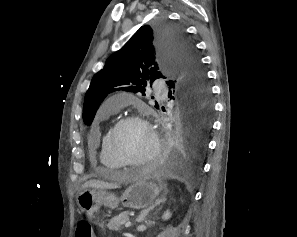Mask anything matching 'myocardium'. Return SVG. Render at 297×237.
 Wrapping results in <instances>:
<instances>
[{
  "label": "myocardium",
  "instance_id": "1",
  "mask_svg": "<svg viewBox=\"0 0 297 237\" xmlns=\"http://www.w3.org/2000/svg\"><path fill=\"white\" fill-rule=\"evenodd\" d=\"M140 123L143 124L149 131L151 138H152V149L150 153L143 159L137 160V161H132V160H127L125 159L114 147L113 143V137L116 131L123 126L124 124L127 123ZM106 144L107 148L110 152V154L120 163V165L123 166H139V165H146L151 162H153L155 159L158 158L161 150V142H160V137L151 123V121L145 117L142 114H131V115H126L121 118H119L113 126L109 129L108 133L106 134Z\"/></svg>",
  "mask_w": 297,
  "mask_h": 237
}]
</instances>
